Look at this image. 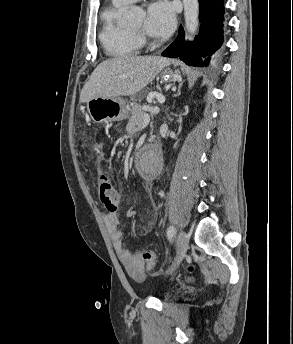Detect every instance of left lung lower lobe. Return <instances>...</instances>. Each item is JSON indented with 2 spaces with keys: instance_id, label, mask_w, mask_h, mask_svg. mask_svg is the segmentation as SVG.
Instances as JSON below:
<instances>
[{
  "instance_id": "1",
  "label": "left lung lower lobe",
  "mask_w": 293,
  "mask_h": 344,
  "mask_svg": "<svg viewBox=\"0 0 293 344\" xmlns=\"http://www.w3.org/2000/svg\"><path fill=\"white\" fill-rule=\"evenodd\" d=\"M200 32L193 43L185 41L183 27L175 41L162 52V56L180 58L186 64L202 67L223 43L222 21L224 15L223 0H199ZM202 59H205L202 63Z\"/></svg>"
}]
</instances>
